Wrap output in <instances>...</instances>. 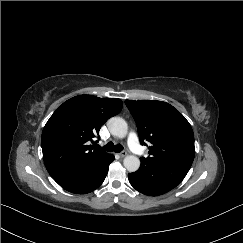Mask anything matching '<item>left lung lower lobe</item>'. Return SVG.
Segmentation results:
<instances>
[{"label":"left lung lower lobe","instance_id":"1","mask_svg":"<svg viewBox=\"0 0 243 243\" xmlns=\"http://www.w3.org/2000/svg\"><path fill=\"white\" fill-rule=\"evenodd\" d=\"M192 162L168 161L151 166H141L128 174L130 184L139 192L157 196L175 188L186 176Z\"/></svg>","mask_w":243,"mask_h":243}]
</instances>
